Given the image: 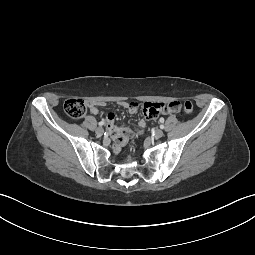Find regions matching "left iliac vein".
Masks as SVG:
<instances>
[{"label":"left iliac vein","mask_w":255,"mask_h":255,"mask_svg":"<svg viewBox=\"0 0 255 255\" xmlns=\"http://www.w3.org/2000/svg\"><path fill=\"white\" fill-rule=\"evenodd\" d=\"M163 135H164V133H163V131L160 130V129H157V130L155 131V134H154L155 138H157V139L161 138Z\"/></svg>","instance_id":"1"}]
</instances>
